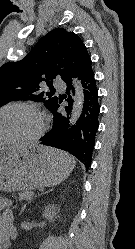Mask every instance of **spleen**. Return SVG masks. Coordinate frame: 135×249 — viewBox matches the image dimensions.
Returning a JSON list of instances; mask_svg holds the SVG:
<instances>
[{"instance_id":"obj_1","label":"spleen","mask_w":135,"mask_h":249,"mask_svg":"<svg viewBox=\"0 0 135 249\" xmlns=\"http://www.w3.org/2000/svg\"><path fill=\"white\" fill-rule=\"evenodd\" d=\"M57 154L59 156V158L64 162V161H72L73 164L75 165V160L73 157H71L69 154L61 152V151H57Z\"/></svg>"}]
</instances>
